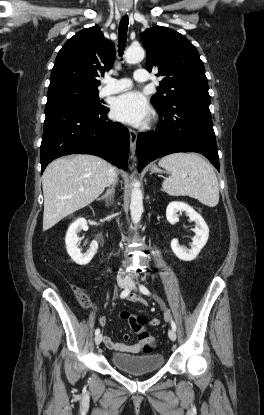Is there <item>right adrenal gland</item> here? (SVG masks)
<instances>
[{"label": "right adrenal gland", "mask_w": 264, "mask_h": 415, "mask_svg": "<svg viewBox=\"0 0 264 415\" xmlns=\"http://www.w3.org/2000/svg\"><path fill=\"white\" fill-rule=\"evenodd\" d=\"M115 189L114 186H109V189L106 191V194L98 198V200H105L106 206L111 204L112 197L114 195Z\"/></svg>", "instance_id": "2a0ac1e0"}]
</instances>
